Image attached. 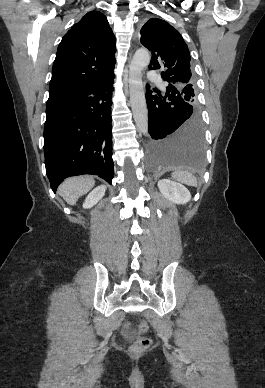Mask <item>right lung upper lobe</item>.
<instances>
[{"label": "right lung upper lobe", "mask_w": 265, "mask_h": 388, "mask_svg": "<svg viewBox=\"0 0 265 388\" xmlns=\"http://www.w3.org/2000/svg\"><path fill=\"white\" fill-rule=\"evenodd\" d=\"M115 37L101 12H88L67 32L53 64L49 98L114 75Z\"/></svg>", "instance_id": "obj_1"}]
</instances>
